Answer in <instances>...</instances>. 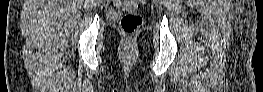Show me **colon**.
<instances>
[{
    "label": "colon",
    "mask_w": 263,
    "mask_h": 92,
    "mask_svg": "<svg viewBox=\"0 0 263 92\" xmlns=\"http://www.w3.org/2000/svg\"><path fill=\"white\" fill-rule=\"evenodd\" d=\"M137 2L143 3L144 0H138ZM121 29L125 33V35L131 37L133 36L137 29L142 24V17L140 14L135 12H127L121 18Z\"/></svg>",
    "instance_id": "obj_1"
}]
</instances>
